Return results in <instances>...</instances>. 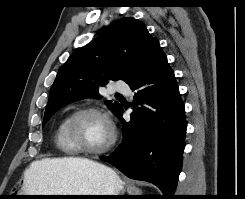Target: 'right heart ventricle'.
Returning a JSON list of instances; mask_svg holds the SVG:
<instances>
[{
  "mask_svg": "<svg viewBox=\"0 0 245 199\" xmlns=\"http://www.w3.org/2000/svg\"><path fill=\"white\" fill-rule=\"evenodd\" d=\"M69 116H66L61 120L58 124L55 132H54V141L57 148L65 155V156H74L78 152L74 150L70 141L66 136V122Z\"/></svg>",
  "mask_w": 245,
  "mask_h": 199,
  "instance_id": "obj_1",
  "label": "right heart ventricle"
}]
</instances>
